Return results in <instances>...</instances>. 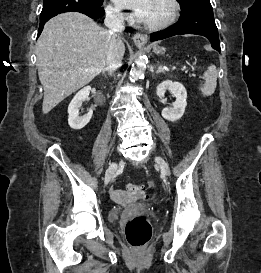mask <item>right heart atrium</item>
<instances>
[{
	"instance_id": "obj_1",
	"label": "right heart atrium",
	"mask_w": 261,
	"mask_h": 273,
	"mask_svg": "<svg viewBox=\"0 0 261 273\" xmlns=\"http://www.w3.org/2000/svg\"><path fill=\"white\" fill-rule=\"evenodd\" d=\"M107 15L110 19L116 20V21H121L123 20L124 16L122 12L115 6L109 5L106 8Z\"/></svg>"
}]
</instances>
